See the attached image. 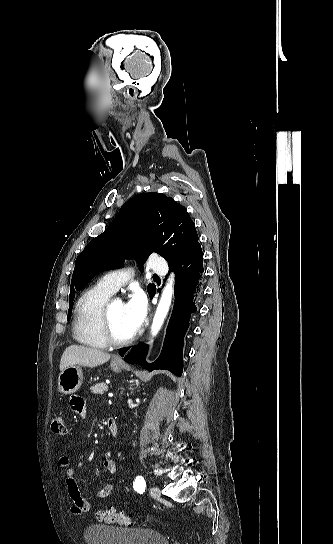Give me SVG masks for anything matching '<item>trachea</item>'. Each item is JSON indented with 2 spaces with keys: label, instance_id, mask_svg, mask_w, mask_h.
<instances>
[{
  "label": "trachea",
  "instance_id": "1",
  "mask_svg": "<svg viewBox=\"0 0 333 544\" xmlns=\"http://www.w3.org/2000/svg\"><path fill=\"white\" fill-rule=\"evenodd\" d=\"M153 277H154V278H158V276H157V275H154Z\"/></svg>",
  "mask_w": 333,
  "mask_h": 544
}]
</instances>
